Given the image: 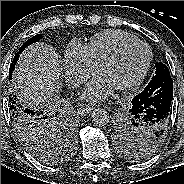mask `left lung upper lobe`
<instances>
[{"instance_id": "5c2ea615", "label": "left lung upper lobe", "mask_w": 184, "mask_h": 184, "mask_svg": "<svg viewBox=\"0 0 184 184\" xmlns=\"http://www.w3.org/2000/svg\"><path fill=\"white\" fill-rule=\"evenodd\" d=\"M163 75H170L169 69L165 64L157 63L153 78ZM166 124L167 130L157 133L154 128L135 119L128 111L120 116L114 125L113 132L119 151L131 160H144L150 157L166 138L169 122Z\"/></svg>"}]
</instances>
